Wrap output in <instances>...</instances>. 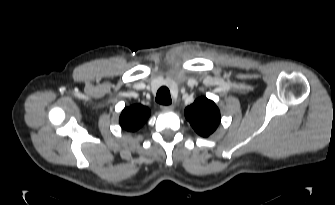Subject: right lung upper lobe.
Here are the masks:
<instances>
[{
    "mask_svg": "<svg viewBox=\"0 0 335 205\" xmlns=\"http://www.w3.org/2000/svg\"><path fill=\"white\" fill-rule=\"evenodd\" d=\"M150 110L140 104L125 108L120 115V124L127 131H136L147 121Z\"/></svg>",
    "mask_w": 335,
    "mask_h": 205,
    "instance_id": "1",
    "label": "right lung upper lobe"
}]
</instances>
